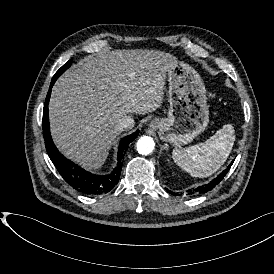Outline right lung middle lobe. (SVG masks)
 Returning a JSON list of instances; mask_svg holds the SVG:
<instances>
[{"mask_svg":"<svg viewBox=\"0 0 274 274\" xmlns=\"http://www.w3.org/2000/svg\"><path fill=\"white\" fill-rule=\"evenodd\" d=\"M72 63V59L69 60L65 65H63L54 75V77H59L66 69H68L70 67Z\"/></svg>","mask_w":274,"mask_h":274,"instance_id":"1","label":"right lung middle lobe"}]
</instances>
